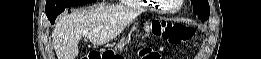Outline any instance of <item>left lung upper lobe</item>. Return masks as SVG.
<instances>
[{"instance_id":"obj_1","label":"left lung upper lobe","mask_w":261,"mask_h":59,"mask_svg":"<svg viewBox=\"0 0 261 59\" xmlns=\"http://www.w3.org/2000/svg\"><path fill=\"white\" fill-rule=\"evenodd\" d=\"M194 7V14L198 15V18L203 22L209 18L210 9L207 0H191Z\"/></svg>"}]
</instances>
